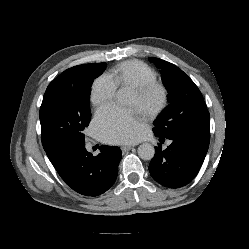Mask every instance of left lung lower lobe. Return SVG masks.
<instances>
[{
    "instance_id": "0a47b994",
    "label": "left lung lower lobe",
    "mask_w": 249,
    "mask_h": 249,
    "mask_svg": "<svg viewBox=\"0 0 249 249\" xmlns=\"http://www.w3.org/2000/svg\"><path fill=\"white\" fill-rule=\"evenodd\" d=\"M160 137V140L164 137ZM172 144L165 150L156 147V154L150 162L151 176L159 184L169 188L187 185L195 178L208 151L210 138H170Z\"/></svg>"
}]
</instances>
